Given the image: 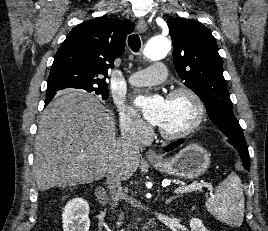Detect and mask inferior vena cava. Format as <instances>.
I'll use <instances>...</instances> for the list:
<instances>
[{
  "instance_id": "inferior-vena-cava-1",
  "label": "inferior vena cava",
  "mask_w": 268,
  "mask_h": 231,
  "mask_svg": "<svg viewBox=\"0 0 268 231\" xmlns=\"http://www.w3.org/2000/svg\"><path fill=\"white\" fill-rule=\"evenodd\" d=\"M122 140L124 148L133 153H139V144L132 130L122 131ZM124 180L123 173L119 169L110 168L106 175V184L110 191L111 209L117 207L122 194L121 182Z\"/></svg>"
}]
</instances>
